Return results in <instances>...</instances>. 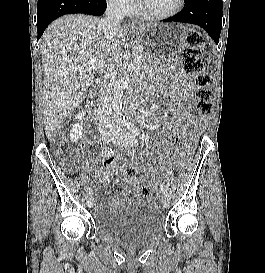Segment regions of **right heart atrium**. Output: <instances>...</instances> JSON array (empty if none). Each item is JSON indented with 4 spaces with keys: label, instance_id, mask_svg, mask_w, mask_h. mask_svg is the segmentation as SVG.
<instances>
[{
    "label": "right heart atrium",
    "instance_id": "obj_1",
    "mask_svg": "<svg viewBox=\"0 0 265 273\" xmlns=\"http://www.w3.org/2000/svg\"><path fill=\"white\" fill-rule=\"evenodd\" d=\"M107 2L111 7L124 13L132 11L137 4V0H107Z\"/></svg>",
    "mask_w": 265,
    "mask_h": 273
}]
</instances>
